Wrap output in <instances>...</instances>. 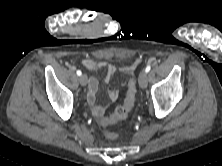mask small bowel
Here are the masks:
<instances>
[{
    "instance_id": "1",
    "label": "small bowel",
    "mask_w": 222,
    "mask_h": 166,
    "mask_svg": "<svg viewBox=\"0 0 222 166\" xmlns=\"http://www.w3.org/2000/svg\"><path fill=\"white\" fill-rule=\"evenodd\" d=\"M141 63V59H137L130 65H126L121 67L119 70L127 75L128 77H131L137 68V66ZM82 65L91 70V71H97L99 69H105L106 70V76H105V81L107 83H110L114 73L117 71V67L113 64L104 62V61H94L91 59H84L82 61ZM99 88V82L97 78L95 77H90L88 81V93H87V102L90 106V109L93 113V115L102 120V117L104 116L108 105L110 103H114L119 96V91L116 88H110L108 91V98H109V103L108 104H99L97 102V91Z\"/></svg>"
}]
</instances>
